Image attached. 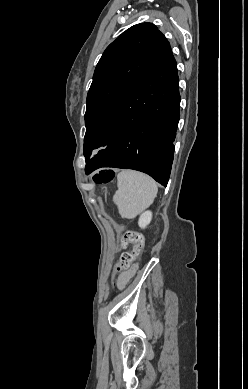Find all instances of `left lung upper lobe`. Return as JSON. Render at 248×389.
Returning <instances> with one entry per match:
<instances>
[{
	"mask_svg": "<svg viewBox=\"0 0 248 389\" xmlns=\"http://www.w3.org/2000/svg\"><path fill=\"white\" fill-rule=\"evenodd\" d=\"M169 47L154 24L141 23L127 29L106 48L87 94L83 150L86 162L94 149L107 145L111 138L101 136L102 118Z\"/></svg>",
	"mask_w": 248,
	"mask_h": 389,
	"instance_id": "obj_1",
	"label": "left lung upper lobe"
}]
</instances>
